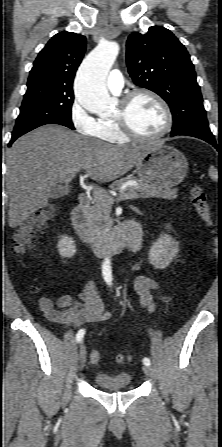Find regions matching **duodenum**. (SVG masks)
<instances>
[{"mask_svg": "<svg viewBox=\"0 0 222 447\" xmlns=\"http://www.w3.org/2000/svg\"><path fill=\"white\" fill-rule=\"evenodd\" d=\"M91 205V198L86 193L78 197V204L73 209L72 229L82 245L102 256H114L124 248L138 252L142 242V227L140 221L131 219L122 221L103 238H92L86 226L87 213Z\"/></svg>", "mask_w": 222, "mask_h": 447, "instance_id": "1", "label": "duodenum"}]
</instances>
